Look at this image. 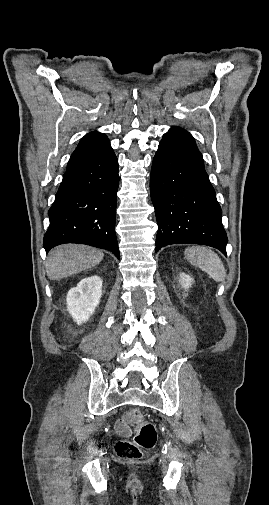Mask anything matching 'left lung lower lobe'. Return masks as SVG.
Masks as SVG:
<instances>
[{
	"label": "left lung lower lobe",
	"mask_w": 269,
	"mask_h": 505,
	"mask_svg": "<svg viewBox=\"0 0 269 505\" xmlns=\"http://www.w3.org/2000/svg\"><path fill=\"white\" fill-rule=\"evenodd\" d=\"M150 194L158 224L157 252L170 244L208 245L226 255L221 208L194 138L172 127L152 163Z\"/></svg>",
	"instance_id": "1"
}]
</instances>
